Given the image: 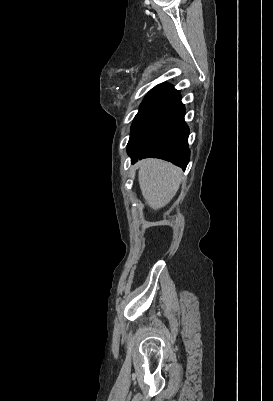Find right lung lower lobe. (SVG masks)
<instances>
[{"label":"right lung lower lobe","mask_w":273,"mask_h":401,"mask_svg":"<svg viewBox=\"0 0 273 401\" xmlns=\"http://www.w3.org/2000/svg\"><path fill=\"white\" fill-rule=\"evenodd\" d=\"M178 94L150 117L130 138L127 152L133 163L142 158H160L185 170L190 157L189 128Z\"/></svg>","instance_id":"obj_1"}]
</instances>
